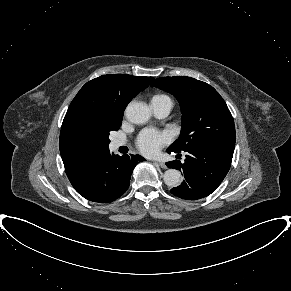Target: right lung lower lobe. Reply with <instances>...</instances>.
Here are the masks:
<instances>
[{"mask_svg": "<svg viewBox=\"0 0 291 291\" xmlns=\"http://www.w3.org/2000/svg\"><path fill=\"white\" fill-rule=\"evenodd\" d=\"M144 160L140 155L120 157L108 150L95 158L70 182L89 201L112 202L126 192L133 168Z\"/></svg>", "mask_w": 291, "mask_h": 291, "instance_id": "98d812e1", "label": "right lung lower lobe"}]
</instances>
